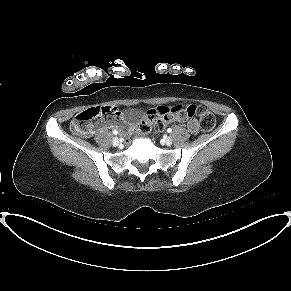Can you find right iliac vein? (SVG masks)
<instances>
[{"mask_svg":"<svg viewBox=\"0 0 291 291\" xmlns=\"http://www.w3.org/2000/svg\"><path fill=\"white\" fill-rule=\"evenodd\" d=\"M112 144L113 146H118L119 145V139L117 137H114L113 140H112Z\"/></svg>","mask_w":291,"mask_h":291,"instance_id":"1","label":"right iliac vein"}]
</instances>
